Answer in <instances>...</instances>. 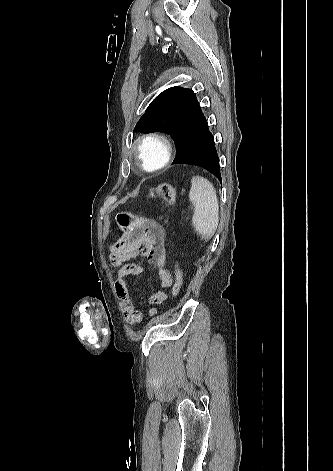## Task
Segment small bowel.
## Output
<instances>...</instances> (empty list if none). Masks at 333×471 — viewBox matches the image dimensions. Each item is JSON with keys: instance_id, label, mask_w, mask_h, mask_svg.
<instances>
[{"instance_id": "small-bowel-1", "label": "small bowel", "mask_w": 333, "mask_h": 471, "mask_svg": "<svg viewBox=\"0 0 333 471\" xmlns=\"http://www.w3.org/2000/svg\"><path fill=\"white\" fill-rule=\"evenodd\" d=\"M116 219L124 232L121 238L110 246V263L118 268L113 288L124 319L130 325H137L144 320V315L136 308L125 277L140 275L144 272V268L129 261L138 255H143L148 264L157 270L161 287L170 288L173 285V277L165 267L166 233L158 222L150 218L120 213ZM167 298L165 291L153 293L149 298L153 307L148 314L156 315L158 309L155 306L163 304Z\"/></svg>"}]
</instances>
